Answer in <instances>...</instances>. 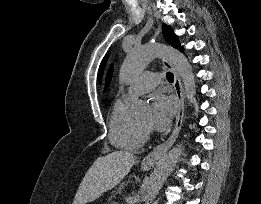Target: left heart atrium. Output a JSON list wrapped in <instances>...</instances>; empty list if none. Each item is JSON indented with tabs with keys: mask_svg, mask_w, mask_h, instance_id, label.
Segmentation results:
<instances>
[{
	"mask_svg": "<svg viewBox=\"0 0 261 204\" xmlns=\"http://www.w3.org/2000/svg\"><path fill=\"white\" fill-rule=\"evenodd\" d=\"M175 111L173 100L163 94H157L153 98L150 125L158 130H166L172 120Z\"/></svg>",
	"mask_w": 261,
	"mask_h": 204,
	"instance_id": "obj_1",
	"label": "left heart atrium"
}]
</instances>
